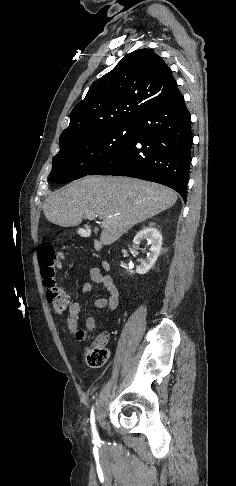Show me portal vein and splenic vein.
I'll return each mask as SVG.
<instances>
[{"mask_svg":"<svg viewBox=\"0 0 236 486\" xmlns=\"http://www.w3.org/2000/svg\"><path fill=\"white\" fill-rule=\"evenodd\" d=\"M85 215L89 220H93V219H95V217H97V215H95L93 212H89V211H87Z\"/></svg>","mask_w":236,"mask_h":486,"instance_id":"portal-vein-and-splenic-vein-1","label":"portal vein and splenic vein"}]
</instances>
